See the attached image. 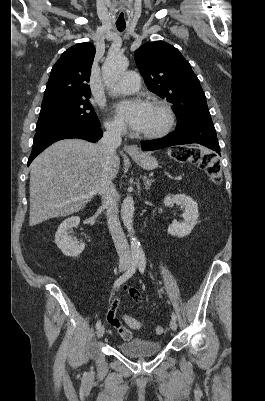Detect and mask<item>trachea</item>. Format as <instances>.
I'll return each instance as SVG.
<instances>
[{
  "instance_id": "obj_1",
  "label": "trachea",
  "mask_w": 265,
  "mask_h": 401,
  "mask_svg": "<svg viewBox=\"0 0 265 401\" xmlns=\"http://www.w3.org/2000/svg\"><path fill=\"white\" fill-rule=\"evenodd\" d=\"M116 27H117V30H119V32H123L126 28V23L125 22L124 23H116Z\"/></svg>"
}]
</instances>
